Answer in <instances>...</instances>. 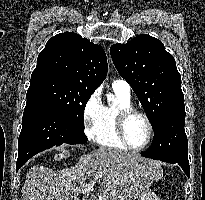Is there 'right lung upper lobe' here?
Wrapping results in <instances>:
<instances>
[{
	"mask_svg": "<svg viewBox=\"0 0 205 200\" xmlns=\"http://www.w3.org/2000/svg\"><path fill=\"white\" fill-rule=\"evenodd\" d=\"M103 48L82 36L65 32L50 38L37 58L31 79L58 77L95 90L106 77Z\"/></svg>",
	"mask_w": 205,
	"mask_h": 200,
	"instance_id": "1",
	"label": "right lung upper lobe"
}]
</instances>
